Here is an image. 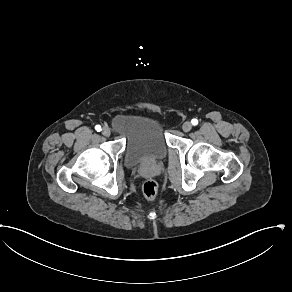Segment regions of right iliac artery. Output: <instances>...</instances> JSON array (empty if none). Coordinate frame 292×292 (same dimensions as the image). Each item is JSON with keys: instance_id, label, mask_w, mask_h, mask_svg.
<instances>
[{"instance_id": "82829eb1", "label": "right iliac artery", "mask_w": 292, "mask_h": 292, "mask_svg": "<svg viewBox=\"0 0 292 292\" xmlns=\"http://www.w3.org/2000/svg\"><path fill=\"white\" fill-rule=\"evenodd\" d=\"M95 130L98 131V132L101 131V126L100 125H96L95 126Z\"/></svg>"}]
</instances>
